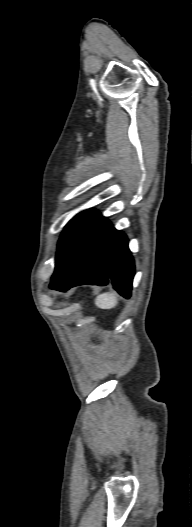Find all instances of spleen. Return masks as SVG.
Wrapping results in <instances>:
<instances>
[{
  "label": "spleen",
  "instance_id": "obj_1",
  "mask_svg": "<svg viewBox=\"0 0 192 527\" xmlns=\"http://www.w3.org/2000/svg\"><path fill=\"white\" fill-rule=\"evenodd\" d=\"M95 305L101 309H111L117 305V298L114 293H103L96 297Z\"/></svg>",
  "mask_w": 192,
  "mask_h": 527
}]
</instances>
